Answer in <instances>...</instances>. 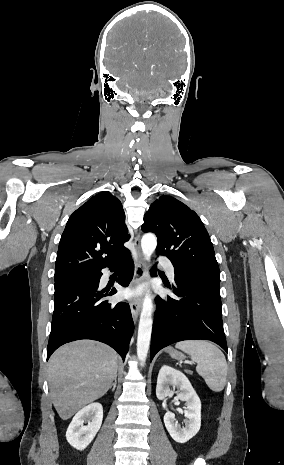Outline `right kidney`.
<instances>
[{
    "label": "right kidney",
    "mask_w": 284,
    "mask_h": 465,
    "mask_svg": "<svg viewBox=\"0 0 284 465\" xmlns=\"http://www.w3.org/2000/svg\"><path fill=\"white\" fill-rule=\"evenodd\" d=\"M102 419L103 409L100 403H91V405L78 411L67 429L66 439L69 445L78 451L86 449L97 435L102 425ZM84 423H88V425L83 427Z\"/></svg>",
    "instance_id": "obj_1"
}]
</instances>
